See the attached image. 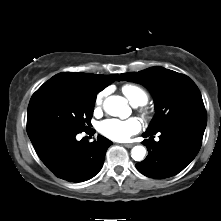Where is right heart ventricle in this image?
Masks as SVG:
<instances>
[{
  "label": "right heart ventricle",
  "mask_w": 221,
  "mask_h": 221,
  "mask_svg": "<svg viewBox=\"0 0 221 221\" xmlns=\"http://www.w3.org/2000/svg\"><path fill=\"white\" fill-rule=\"evenodd\" d=\"M122 92L134 106L144 105L148 101L145 90L137 85L126 84L122 87Z\"/></svg>",
  "instance_id": "right-heart-ventricle-1"
}]
</instances>
